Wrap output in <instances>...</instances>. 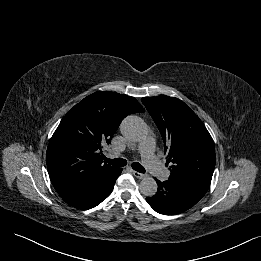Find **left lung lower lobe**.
I'll use <instances>...</instances> for the list:
<instances>
[{"mask_svg": "<svg viewBox=\"0 0 261 261\" xmlns=\"http://www.w3.org/2000/svg\"><path fill=\"white\" fill-rule=\"evenodd\" d=\"M158 191L146 201L158 213L175 215L194 206L207 192V188L200 185L168 179L161 182L155 179Z\"/></svg>", "mask_w": 261, "mask_h": 261, "instance_id": "0a47b994", "label": "left lung lower lobe"}]
</instances>
